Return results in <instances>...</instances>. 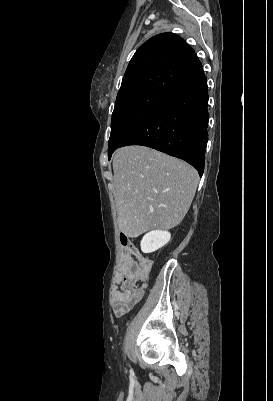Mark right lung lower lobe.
<instances>
[{
	"label": "right lung lower lobe",
	"mask_w": 273,
	"mask_h": 401,
	"mask_svg": "<svg viewBox=\"0 0 273 401\" xmlns=\"http://www.w3.org/2000/svg\"><path fill=\"white\" fill-rule=\"evenodd\" d=\"M207 107V79L203 72L168 93L120 147L143 145L154 148L185 160L202 176L208 140Z\"/></svg>",
	"instance_id": "1"
}]
</instances>
